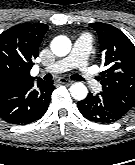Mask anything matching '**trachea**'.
I'll return each mask as SVG.
<instances>
[{
  "label": "trachea",
  "instance_id": "trachea-1",
  "mask_svg": "<svg viewBox=\"0 0 135 165\" xmlns=\"http://www.w3.org/2000/svg\"><path fill=\"white\" fill-rule=\"evenodd\" d=\"M71 78L73 80L83 81V78L80 75H78V74L72 75ZM44 79L45 80H51L52 79V75L51 74H47V75L44 76Z\"/></svg>",
  "mask_w": 135,
  "mask_h": 165
}]
</instances>
